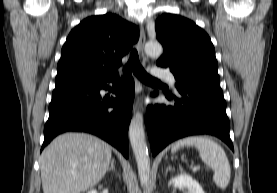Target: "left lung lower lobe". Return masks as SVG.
I'll return each mask as SVG.
<instances>
[{
  "instance_id": "obj_1",
  "label": "left lung lower lobe",
  "mask_w": 277,
  "mask_h": 193,
  "mask_svg": "<svg viewBox=\"0 0 277 193\" xmlns=\"http://www.w3.org/2000/svg\"><path fill=\"white\" fill-rule=\"evenodd\" d=\"M175 105L148 106L146 128L152 155L185 136L210 134L223 140L233 151L226 101L219 83L197 82L177 87ZM158 92L155 91L154 95Z\"/></svg>"
}]
</instances>
